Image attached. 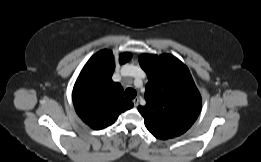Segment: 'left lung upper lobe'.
<instances>
[{
    "label": "left lung upper lobe",
    "mask_w": 261,
    "mask_h": 162,
    "mask_svg": "<svg viewBox=\"0 0 261 162\" xmlns=\"http://www.w3.org/2000/svg\"><path fill=\"white\" fill-rule=\"evenodd\" d=\"M139 63L148 75L146 105L138 107L147 129L164 140L185 133L201 110V95L188 68L169 54H142Z\"/></svg>",
    "instance_id": "obj_1"
}]
</instances>
